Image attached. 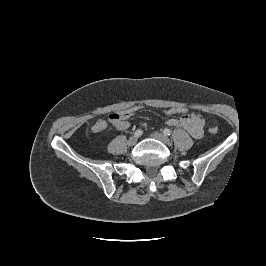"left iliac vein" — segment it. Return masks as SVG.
I'll return each instance as SVG.
<instances>
[{"label": "left iliac vein", "instance_id": "4c4485c4", "mask_svg": "<svg viewBox=\"0 0 266 266\" xmlns=\"http://www.w3.org/2000/svg\"><path fill=\"white\" fill-rule=\"evenodd\" d=\"M151 136L153 138L163 142L164 144H169L170 143V139L166 135H164V134H162L160 132H154V133H152Z\"/></svg>", "mask_w": 266, "mask_h": 266}]
</instances>
